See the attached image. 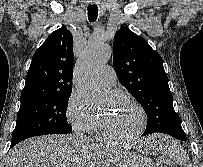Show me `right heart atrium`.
<instances>
[{
    "instance_id": "right-heart-atrium-1",
    "label": "right heart atrium",
    "mask_w": 203,
    "mask_h": 167,
    "mask_svg": "<svg viewBox=\"0 0 203 167\" xmlns=\"http://www.w3.org/2000/svg\"><path fill=\"white\" fill-rule=\"evenodd\" d=\"M65 113L68 123L78 133H93L98 127L96 117L76 94L70 95Z\"/></svg>"
}]
</instances>
